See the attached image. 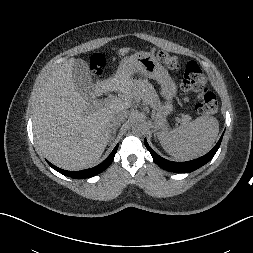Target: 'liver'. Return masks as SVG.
<instances>
[{
	"label": "liver",
	"mask_w": 253,
	"mask_h": 253,
	"mask_svg": "<svg viewBox=\"0 0 253 253\" xmlns=\"http://www.w3.org/2000/svg\"><path fill=\"white\" fill-rule=\"evenodd\" d=\"M128 49H120L122 56ZM71 58L60 65L39 93L33 108V131L39 150L66 170L92 167L100 159L111 134L110 116L127 112L134 101L146 99L147 88L133 79L134 70L120 61L116 73L97 81L94 93L84 98L73 81ZM106 91L120 93L105 106L96 99ZM128 113V112H127Z\"/></svg>",
	"instance_id": "liver-1"
}]
</instances>
